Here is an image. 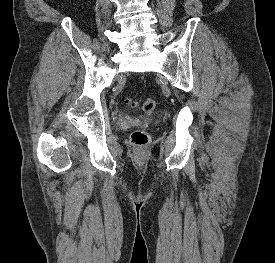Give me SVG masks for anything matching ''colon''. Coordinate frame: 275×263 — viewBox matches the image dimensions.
Listing matches in <instances>:
<instances>
[{"label":"colon","instance_id":"5ec220e1","mask_svg":"<svg viewBox=\"0 0 275 263\" xmlns=\"http://www.w3.org/2000/svg\"><path fill=\"white\" fill-rule=\"evenodd\" d=\"M124 101L131 107H139L145 114H151L156 110V101L153 98H146L138 102L133 97L125 96ZM151 141L150 133L146 130H136L131 135V142L134 146L145 147Z\"/></svg>","mask_w":275,"mask_h":263}]
</instances>
